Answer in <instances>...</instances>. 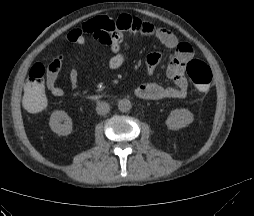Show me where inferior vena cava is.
Wrapping results in <instances>:
<instances>
[{
    "label": "inferior vena cava",
    "mask_w": 254,
    "mask_h": 216,
    "mask_svg": "<svg viewBox=\"0 0 254 216\" xmlns=\"http://www.w3.org/2000/svg\"><path fill=\"white\" fill-rule=\"evenodd\" d=\"M110 111V105L107 102H99L96 107V112L99 115H105Z\"/></svg>",
    "instance_id": "obj_1"
}]
</instances>
